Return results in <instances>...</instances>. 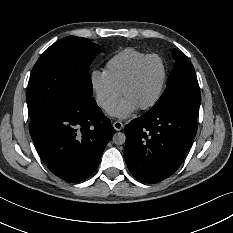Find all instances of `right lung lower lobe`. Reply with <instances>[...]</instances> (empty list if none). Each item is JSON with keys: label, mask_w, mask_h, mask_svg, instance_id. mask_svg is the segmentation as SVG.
Returning a JSON list of instances; mask_svg holds the SVG:
<instances>
[{"label": "right lung lower lobe", "mask_w": 233, "mask_h": 233, "mask_svg": "<svg viewBox=\"0 0 233 233\" xmlns=\"http://www.w3.org/2000/svg\"><path fill=\"white\" fill-rule=\"evenodd\" d=\"M29 130L49 170L68 182H80L98 167L114 128L92 95L77 94L31 118Z\"/></svg>", "instance_id": "98d812e1"}]
</instances>
